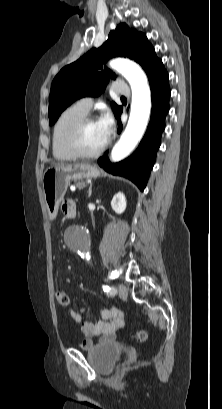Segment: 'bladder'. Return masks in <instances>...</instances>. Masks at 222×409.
<instances>
[{"mask_svg":"<svg viewBox=\"0 0 222 409\" xmlns=\"http://www.w3.org/2000/svg\"><path fill=\"white\" fill-rule=\"evenodd\" d=\"M124 349L115 342L98 344L88 349L87 357L92 367L103 374L110 373Z\"/></svg>","mask_w":222,"mask_h":409,"instance_id":"bladder-1","label":"bladder"}]
</instances>
